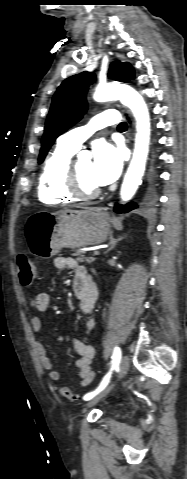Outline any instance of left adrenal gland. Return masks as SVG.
<instances>
[{
    "label": "left adrenal gland",
    "instance_id": "a2214340",
    "mask_svg": "<svg viewBox=\"0 0 187 479\" xmlns=\"http://www.w3.org/2000/svg\"><path fill=\"white\" fill-rule=\"evenodd\" d=\"M122 237L118 238V239H115L113 236H110L109 240V244H110V247L109 249L106 251V253H108L109 251H111L115 246L116 244L118 243L119 240H121Z\"/></svg>",
    "mask_w": 187,
    "mask_h": 479
}]
</instances>
